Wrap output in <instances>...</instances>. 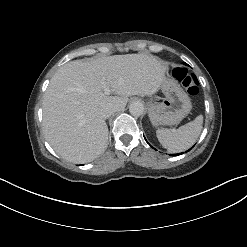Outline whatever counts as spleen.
<instances>
[{
	"label": "spleen",
	"mask_w": 247,
	"mask_h": 247,
	"mask_svg": "<svg viewBox=\"0 0 247 247\" xmlns=\"http://www.w3.org/2000/svg\"><path fill=\"white\" fill-rule=\"evenodd\" d=\"M203 126V116L199 115L192 122L179 127L177 130L159 129L156 131L160 144L170 153L182 152L189 149L199 137Z\"/></svg>",
	"instance_id": "obj_1"
}]
</instances>
